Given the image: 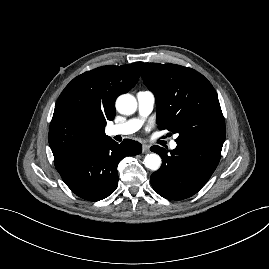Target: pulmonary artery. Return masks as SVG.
Wrapping results in <instances>:
<instances>
[{"instance_id":"e3ab8cb5","label":"pulmonary artery","mask_w":269,"mask_h":269,"mask_svg":"<svg viewBox=\"0 0 269 269\" xmlns=\"http://www.w3.org/2000/svg\"><path fill=\"white\" fill-rule=\"evenodd\" d=\"M138 102V113L137 118L130 119L120 124L110 126L107 129V134L110 136L116 135H129L136 132L142 125L145 117H147L153 110L155 105V96L151 91H139L136 95ZM177 143L172 140L170 142V148L175 149Z\"/></svg>"}]
</instances>
